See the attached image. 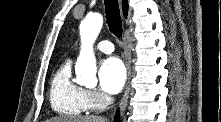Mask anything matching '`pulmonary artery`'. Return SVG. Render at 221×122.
I'll list each match as a JSON object with an SVG mask.
<instances>
[{"label": "pulmonary artery", "mask_w": 221, "mask_h": 122, "mask_svg": "<svg viewBox=\"0 0 221 122\" xmlns=\"http://www.w3.org/2000/svg\"><path fill=\"white\" fill-rule=\"evenodd\" d=\"M96 48L99 51H101L103 53H106V54H109V53L113 52V50H114L113 44L110 41H108V40L100 41L97 44Z\"/></svg>", "instance_id": "obj_1"}]
</instances>
